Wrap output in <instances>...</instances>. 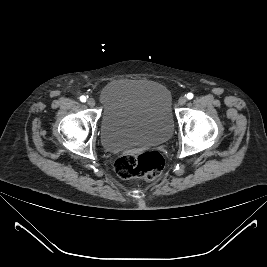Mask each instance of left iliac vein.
<instances>
[{"mask_svg": "<svg viewBox=\"0 0 267 267\" xmlns=\"http://www.w3.org/2000/svg\"><path fill=\"white\" fill-rule=\"evenodd\" d=\"M186 102H187V97L185 95H182L178 100V103L181 106H183Z\"/></svg>", "mask_w": 267, "mask_h": 267, "instance_id": "1", "label": "left iliac vein"}]
</instances>
